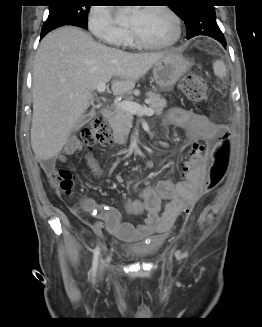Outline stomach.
Returning <instances> with one entry per match:
<instances>
[{
  "label": "stomach",
  "instance_id": "0dacf381",
  "mask_svg": "<svg viewBox=\"0 0 262 327\" xmlns=\"http://www.w3.org/2000/svg\"><path fill=\"white\" fill-rule=\"evenodd\" d=\"M189 67V61L182 54L170 53L154 65L153 77L161 90H171Z\"/></svg>",
  "mask_w": 262,
  "mask_h": 327
}]
</instances>
